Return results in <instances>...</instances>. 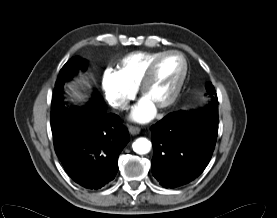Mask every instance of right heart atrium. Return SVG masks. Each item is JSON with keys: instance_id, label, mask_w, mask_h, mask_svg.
I'll list each match as a JSON object with an SVG mask.
<instances>
[{"instance_id": "1", "label": "right heart atrium", "mask_w": 277, "mask_h": 218, "mask_svg": "<svg viewBox=\"0 0 277 218\" xmlns=\"http://www.w3.org/2000/svg\"><path fill=\"white\" fill-rule=\"evenodd\" d=\"M101 86L106 101L115 109H126L136 94V89L128 85L118 71L112 68L104 70Z\"/></svg>"}]
</instances>
